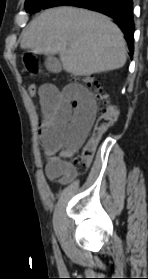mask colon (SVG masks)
<instances>
[{"label":"colon","instance_id":"1","mask_svg":"<svg viewBox=\"0 0 148 279\" xmlns=\"http://www.w3.org/2000/svg\"><path fill=\"white\" fill-rule=\"evenodd\" d=\"M81 81L85 85L95 88L96 99L101 104L99 116L94 124L92 136L74 159V163L77 166L86 168L90 165L93 159L98 141L101 136L117 121L118 113L115 106L110 103L108 95L105 93L96 77L92 75L84 76L81 78ZM27 90L29 95L36 96L38 95L39 87L36 84H30Z\"/></svg>","mask_w":148,"mask_h":279}]
</instances>
